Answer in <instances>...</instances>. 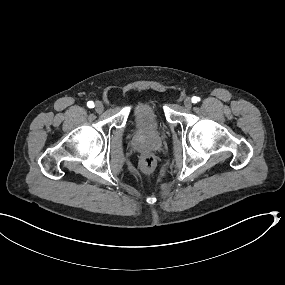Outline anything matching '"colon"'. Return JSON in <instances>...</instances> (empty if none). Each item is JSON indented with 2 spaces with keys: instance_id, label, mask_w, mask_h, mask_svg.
I'll list each match as a JSON object with an SVG mask.
<instances>
[{
  "instance_id": "5ec220e1",
  "label": "colon",
  "mask_w": 285,
  "mask_h": 285,
  "mask_svg": "<svg viewBox=\"0 0 285 285\" xmlns=\"http://www.w3.org/2000/svg\"><path fill=\"white\" fill-rule=\"evenodd\" d=\"M139 166L144 173L150 174L156 166V159L151 154H144L140 158Z\"/></svg>"
}]
</instances>
